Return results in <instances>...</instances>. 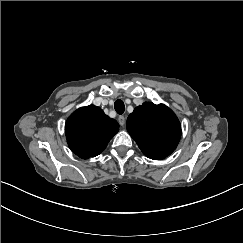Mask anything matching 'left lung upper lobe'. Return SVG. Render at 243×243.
Masks as SVG:
<instances>
[{
  "instance_id": "left-lung-upper-lobe-1",
  "label": "left lung upper lobe",
  "mask_w": 243,
  "mask_h": 243,
  "mask_svg": "<svg viewBox=\"0 0 243 243\" xmlns=\"http://www.w3.org/2000/svg\"><path fill=\"white\" fill-rule=\"evenodd\" d=\"M127 130L145 156L160 160L170 155L181 137L176 115L163 104L145 102L128 116Z\"/></svg>"
}]
</instances>
